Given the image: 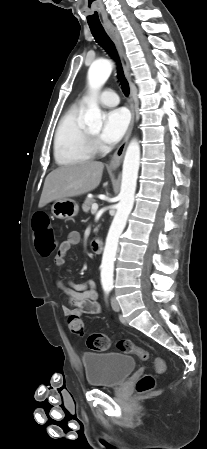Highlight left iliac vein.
<instances>
[{"label": "left iliac vein", "mask_w": 207, "mask_h": 449, "mask_svg": "<svg viewBox=\"0 0 207 449\" xmlns=\"http://www.w3.org/2000/svg\"><path fill=\"white\" fill-rule=\"evenodd\" d=\"M111 306H112V309L116 312L120 310L119 304L114 297H112V299H111Z\"/></svg>", "instance_id": "obj_1"}]
</instances>
